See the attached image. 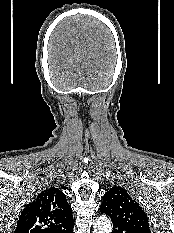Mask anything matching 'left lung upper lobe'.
<instances>
[{"mask_svg":"<svg viewBox=\"0 0 174 233\" xmlns=\"http://www.w3.org/2000/svg\"><path fill=\"white\" fill-rule=\"evenodd\" d=\"M100 211L108 215L112 223L124 225L141 233H150L146 213L139 203L132 199L125 189L119 186H114L105 193Z\"/></svg>","mask_w":174,"mask_h":233,"instance_id":"left-lung-upper-lobe-1","label":"left lung upper lobe"}]
</instances>
